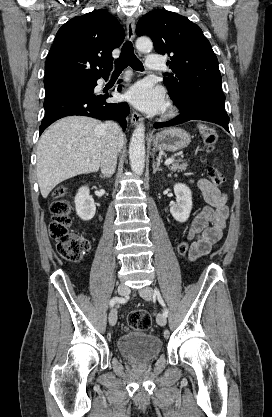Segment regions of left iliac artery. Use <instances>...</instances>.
<instances>
[{"mask_svg":"<svg viewBox=\"0 0 272 417\" xmlns=\"http://www.w3.org/2000/svg\"><path fill=\"white\" fill-rule=\"evenodd\" d=\"M154 294H155V296L157 297V299H158V301H159V303L163 306V316H165V317H167L168 316V310H167V308H166V305H165V303H164V300H163V298H162V296H161V294H160V292H159V290L157 289V288H155V291H154Z\"/></svg>","mask_w":272,"mask_h":417,"instance_id":"44dca946","label":"left iliac artery"}]
</instances>
